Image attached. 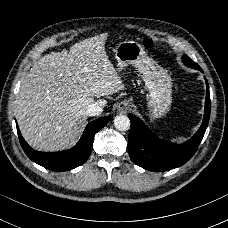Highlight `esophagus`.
Instances as JSON below:
<instances>
[{
    "label": "esophagus",
    "instance_id": "obj_1",
    "mask_svg": "<svg viewBox=\"0 0 228 228\" xmlns=\"http://www.w3.org/2000/svg\"><path fill=\"white\" fill-rule=\"evenodd\" d=\"M130 110H131V105H129L127 102H124V101L117 106V112L119 114H125Z\"/></svg>",
    "mask_w": 228,
    "mask_h": 228
}]
</instances>
